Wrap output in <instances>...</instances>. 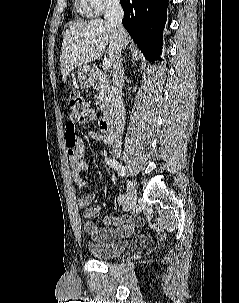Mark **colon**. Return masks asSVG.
Masks as SVG:
<instances>
[{
  "label": "colon",
  "mask_w": 239,
  "mask_h": 303,
  "mask_svg": "<svg viewBox=\"0 0 239 303\" xmlns=\"http://www.w3.org/2000/svg\"><path fill=\"white\" fill-rule=\"evenodd\" d=\"M91 112L89 103L78 93H71L69 97V123L68 128H73L74 122L87 117Z\"/></svg>",
  "instance_id": "colon-1"
}]
</instances>
